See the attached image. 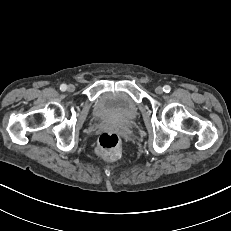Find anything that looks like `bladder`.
Here are the masks:
<instances>
[{
    "instance_id": "31cf9c89",
    "label": "bladder",
    "mask_w": 231,
    "mask_h": 231,
    "mask_svg": "<svg viewBox=\"0 0 231 231\" xmlns=\"http://www.w3.org/2000/svg\"><path fill=\"white\" fill-rule=\"evenodd\" d=\"M93 114L98 119H106L119 123H130L137 114V104L124 92L107 91L95 102Z\"/></svg>"
}]
</instances>
